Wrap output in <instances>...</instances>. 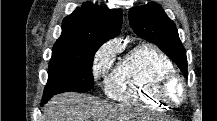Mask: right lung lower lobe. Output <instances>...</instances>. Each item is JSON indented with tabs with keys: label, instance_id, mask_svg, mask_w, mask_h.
I'll use <instances>...</instances> for the list:
<instances>
[{
	"label": "right lung lower lobe",
	"instance_id": "1",
	"mask_svg": "<svg viewBox=\"0 0 217 121\" xmlns=\"http://www.w3.org/2000/svg\"><path fill=\"white\" fill-rule=\"evenodd\" d=\"M48 100H42L41 105H44Z\"/></svg>",
	"mask_w": 217,
	"mask_h": 121
}]
</instances>
